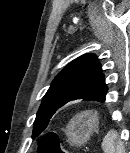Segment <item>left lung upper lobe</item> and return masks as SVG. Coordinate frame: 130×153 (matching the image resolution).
I'll return each mask as SVG.
<instances>
[{
  "instance_id": "1",
  "label": "left lung upper lobe",
  "mask_w": 130,
  "mask_h": 153,
  "mask_svg": "<svg viewBox=\"0 0 130 153\" xmlns=\"http://www.w3.org/2000/svg\"><path fill=\"white\" fill-rule=\"evenodd\" d=\"M107 92L104 74L94 54H84L70 62L52 81L34 122L33 138L48 126L56 111L67 101H100Z\"/></svg>"
}]
</instances>
